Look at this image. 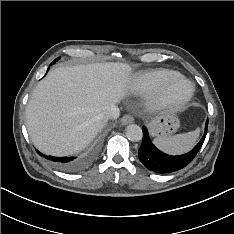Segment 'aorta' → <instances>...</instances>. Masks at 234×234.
<instances>
[{
    "mask_svg": "<svg viewBox=\"0 0 234 234\" xmlns=\"http://www.w3.org/2000/svg\"><path fill=\"white\" fill-rule=\"evenodd\" d=\"M127 138L133 142H138L142 139L143 133L140 126L136 124H130L125 129Z\"/></svg>",
    "mask_w": 234,
    "mask_h": 234,
    "instance_id": "1",
    "label": "aorta"
}]
</instances>
